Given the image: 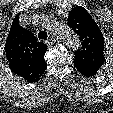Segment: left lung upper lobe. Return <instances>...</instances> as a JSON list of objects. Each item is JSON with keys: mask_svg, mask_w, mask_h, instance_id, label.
Here are the masks:
<instances>
[{"mask_svg": "<svg viewBox=\"0 0 113 113\" xmlns=\"http://www.w3.org/2000/svg\"><path fill=\"white\" fill-rule=\"evenodd\" d=\"M68 25L79 35L81 49L75 53L74 64L97 72L104 63V37L91 15L81 6L69 12Z\"/></svg>", "mask_w": 113, "mask_h": 113, "instance_id": "5c2ea615", "label": "left lung upper lobe"}]
</instances>
